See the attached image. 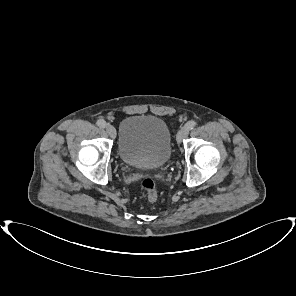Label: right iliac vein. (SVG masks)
Masks as SVG:
<instances>
[{
	"label": "right iliac vein",
	"instance_id": "obj_1",
	"mask_svg": "<svg viewBox=\"0 0 296 296\" xmlns=\"http://www.w3.org/2000/svg\"><path fill=\"white\" fill-rule=\"evenodd\" d=\"M106 131L110 135V137L115 138L116 137V130L112 125H107L106 126Z\"/></svg>",
	"mask_w": 296,
	"mask_h": 296
}]
</instances>
